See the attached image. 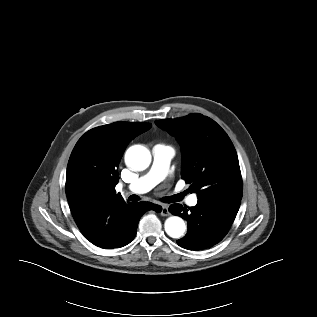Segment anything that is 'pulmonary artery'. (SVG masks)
<instances>
[{"mask_svg":"<svg viewBox=\"0 0 317 317\" xmlns=\"http://www.w3.org/2000/svg\"><path fill=\"white\" fill-rule=\"evenodd\" d=\"M152 154L153 162L149 171L128 186L127 190L129 192L136 194L145 193L165 179L170 161L174 155V150L170 146L157 144L153 147ZM187 203L190 206L197 205V195H190L187 199Z\"/></svg>","mask_w":317,"mask_h":317,"instance_id":"1","label":"pulmonary artery"}]
</instances>
